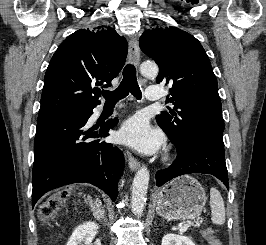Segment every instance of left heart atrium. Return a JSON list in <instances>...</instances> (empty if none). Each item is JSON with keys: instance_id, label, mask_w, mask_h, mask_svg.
I'll use <instances>...</instances> for the list:
<instances>
[{"instance_id": "1", "label": "left heart atrium", "mask_w": 266, "mask_h": 245, "mask_svg": "<svg viewBox=\"0 0 266 245\" xmlns=\"http://www.w3.org/2000/svg\"><path fill=\"white\" fill-rule=\"evenodd\" d=\"M120 137L125 143L144 152H153L162 143L161 134L153 129L145 119L139 117H133L123 124Z\"/></svg>"}]
</instances>
